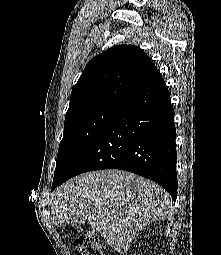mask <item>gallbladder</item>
<instances>
[{
	"label": "gallbladder",
	"instance_id": "bac80fb5",
	"mask_svg": "<svg viewBox=\"0 0 221 255\" xmlns=\"http://www.w3.org/2000/svg\"><path fill=\"white\" fill-rule=\"evenodd\" d=\"M86 221V218L83 217L82 215H76L73 217L71 221V225L74 229L79 228L82 224H84Z\"/></svg>",
	"mask_w": 221,
	"mask_h": 255
}]
</instances>
